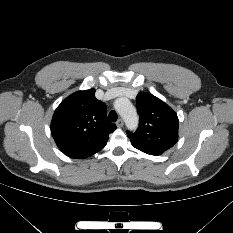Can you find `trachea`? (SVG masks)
<instances>
[{"instance_id":"3493384b","label":"trachea","mask_w":233,"mask_h":233,"mask_svg":"<svg viewBox=\"0 0 233 233\" xmlns=\"http://www.w3.org/2000/svg\"><path fill=\"white\" fill-rule=\"evenodd\" d=\"M108 117H109V120H110L111 122H116L117 119H118V115H117V113H116L114 110H113V111H110Z\"/></svg>"}]
</instances>
